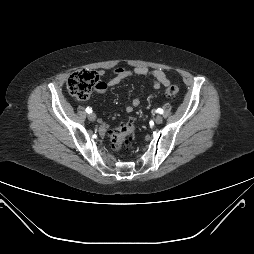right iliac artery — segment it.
I'll return each mask as SVG.
<instances>
[{
	"instance_id": "1",
	"label": "right iliac artery",
	"mask_w": 254,
	"mask_h": 254,
	"mask_svg": "<svg viewBox=\"0 0 254 254\" xmlns=\"http://www.w3.org/2000/svg\"><path fill=\"white\" fill-rule=\"evenodd\" d=\"M86 112H87V113H91V112H92V109L89 108V107H87V108H86Z\"/></svg>"
}]
</instances>
